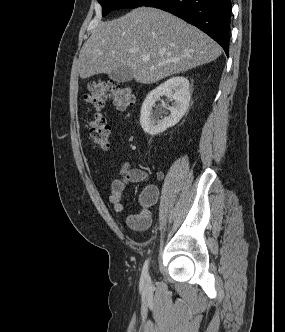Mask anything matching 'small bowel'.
<instances>
[{
  "mask_svg": "<svg viewBox=\"0 0 285 332\" xmlns=\"http://www.w3.org/2000/svg\"><path fill=\"white\" fill-rule=\"evenodd\" d=\"M164 175L162 172H157L156 179L161 181ZM149 174L139 168L130 167L125 163L120 171V175L113 179L110 187V194L108 201L113 207L114 212L121 213L124 210L123 192L129 183L147 182ZM159 197V189L154 184L147 185L140 194V204L143 209L129 215L127 222L130 227L134 229H144L150 224V211L149 208L153 206Z\"/></svg>",
  "mask_w": 285,
  "mask_h": 332,
  "instance_id": "c3829d8e",
  "label": "small bowel"
}]
</instances>
